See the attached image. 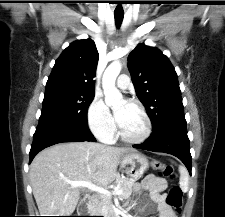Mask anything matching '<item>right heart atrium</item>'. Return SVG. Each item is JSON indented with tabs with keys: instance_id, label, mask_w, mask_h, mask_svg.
<instances>
[{
	"instance_id": "1",
	"label": "right heart atrium",
	"mask_w": 225,
	"mask_h": 217,
	"mask_svg": "<svg viewBox=\"0 0 225 217\" xmlns=\"http://www.w3.org/2000/svg\"><path fill=\"white\" fill-rule=\"evenodd\" d=\"M87 122L92 133L100 139L109 140L115 132L112 114L99 96H95L87 109Z\"/></svg>"
}]
</instances>
